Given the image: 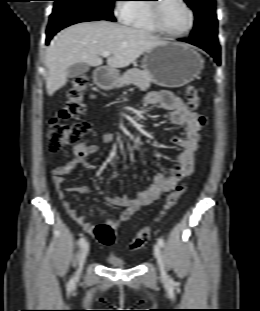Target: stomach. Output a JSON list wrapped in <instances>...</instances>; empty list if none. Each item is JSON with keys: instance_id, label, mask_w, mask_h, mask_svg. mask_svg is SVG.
Listing matches in <instances>:
<instances>
[{"instance_id": "stomach-1", "label": "stomach", "mask_w": 260, "mask_h": 311, "mask_svg": "<svg viewBox=\"0 0 260 311\" xmlns=\"http://www.w3.org/2000/svg\"><path fill=\"white\" fill-rule=\"evenodd\" d=\"M204 68V60L191 47L181 43L166 42L146 52L142 61L144 73L157 85L181 87L197 78ZM119 73L107 69L100 72L95 82L103 89L116 85Z\"/></svg>"}]
</instances>
